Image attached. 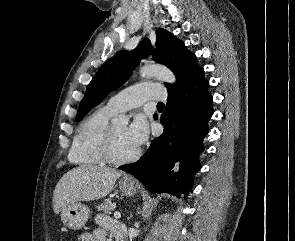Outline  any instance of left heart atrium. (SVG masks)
<instances>
[{
  "label": "left heart atrium",
  "instance_id": "39dd6f15",
  "mask_svg": "<svg viewBox=\"0 0 295 241\" xmlns=\"http://www.w3.org/2000/svg\"><path fill=\"white\" fill-rule=\"evenodd\" d=\"M126 135L128 140L136 148H139L149 135V125L146 119L143 117H136L127 127Z\"/></svg>",
  "mask_w": 295,
  "mask_h": 241
}]
</instances>
